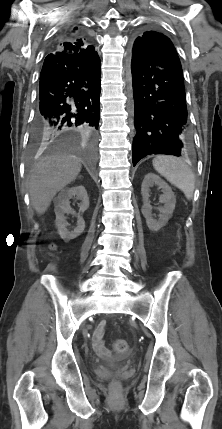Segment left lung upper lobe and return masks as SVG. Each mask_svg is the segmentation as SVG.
I'll return each mask as SVG.
<instances>
[{"instance_id": "1", "label": "left lung upper lobe", "mask_w": 222, "mask_h": 429, "mask_svg": "<svg viewBox=\"0 0 222 429\" xmlns=\"http://www.w3.org/2000/svg\"><path fill=\"white\" fill-rule=\"evenodd\" d=\"M157 35H163L162 33L156 32V31H145L143 33H140L136 39L135 42L139 41V40H143L146 41L145 39L148 40L149 37H156ZM146 45V44H145Z\"/></svg>"}]
</instances>
